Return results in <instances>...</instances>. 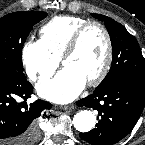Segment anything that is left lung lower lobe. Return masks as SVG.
I'll return each mask as SVG.
<instances>
[{
	"label": "left lung lower lobe",
	"mask_w": 145,
	"mask_h": 145,
	"mask_svg": "<svg viewBox=\"0 0 145 145\" xmlns=\"http://www.w3.org/2000/svg\"><path fill=\"white\" fill-rule=\"evenodd\" d=\"M145 104V82L124 78L77 102L93 108L100 116L96 128L80 133L92 145H113L128 135L138 121Z\"/></svg>",
	"instance_id": "obj_1"
}]
</instances>
